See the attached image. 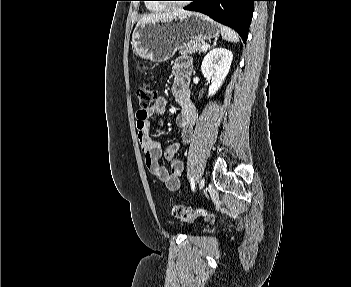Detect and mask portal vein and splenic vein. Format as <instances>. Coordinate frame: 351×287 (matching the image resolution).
I'll return each instance as SVG.
<instances>
[{"instance_id":"18ae733b","label":"portal vein and splenic vein","mask_w":351,"mask_h":287,"mask_svg":"<svg viewBox=\"0 0 351 287\" xmlns=\"http://www.w3.org/2000/svg\"><path fill=\"white\" fill-rule=\"evenodd\" d=\"M202 49H203V50H207V45H206V44H203V45H202Z\"/></svg>"}]
</instances>
